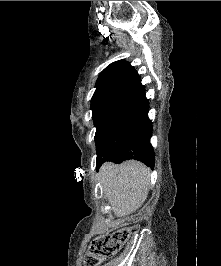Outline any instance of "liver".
Listing matches in <instances>:
<instances>
[{
	"label": "liver",
	"instance_id": "6515ba94",
	"mask_svg": "<svg viewBox=\"0 0 221 266\" xmlns=\"http://www.w3.org/2000/svg\"><path fill=\"white\" fill-rule=\"evenodd\" d=\"M99 179L117 217L132 214L147 199L150 170L141 162L105 163L99 170Z\"/></svg>",
	"mask_w": 221,
	"mask_h": 266
}]
</instances>
